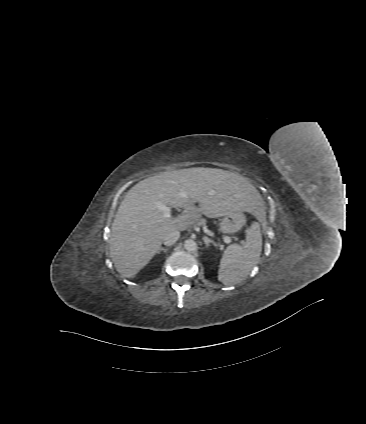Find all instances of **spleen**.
Wrapping results in <instances>:
<instances>
[{"mask_svg": "<svg viewBox=\"0 0 366 424\" xmlns=\"http://www.w3.org/2000/svg\"><path fill=\"white\" fill-rule=\"evenodd\" d=\"M259 220L262 216L258 217ZM262 251V235L258 222L246 231V242L243 246L229 245L220 260L218 279L225 285H234L245 280L257 264Z\"/></svg>", "mask_w": 366, "mask_h": 424, "instance_id": "obj_1", "label": "spleen"}]
</instances>
